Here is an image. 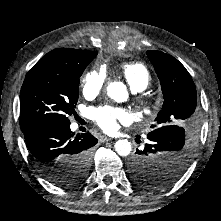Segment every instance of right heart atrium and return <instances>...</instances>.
Instances as JSON below:
<instances>
[{"instance_id": "right-heart-atrium-1", "label": "right heart atrium", "mask_w": 221, "mask_h": 221, "mask_svg": "<svg viewBox=\"0 0 221 221\" xmlns=\"http://www.w3.org/2000/svg\"><path fill=\"white\" fill-rule=\"evenodd\" d=\"M106 82V73L101 69H93L84 74L81 87L86 97L92 98L101 93Z\"/></svg>"}]
</instances>
